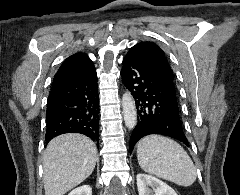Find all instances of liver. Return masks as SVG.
<instances>
[{
	"mask_svg": "<svg viewBox=\"0 0 240 195\" xmlns=\"http://www.w3.org/2000/svg\"><path fill=\"white\" fill-rule=\"evenodd\" d=\"M97 147L82 133H63L49 141L43 157L45 195H63L91 175Z\"/></svg>",
	"mask_w": 240,
	"mask_h": 195,
	"instance_id": "liver-1",
	"label": "liver"
}]
</instances>
